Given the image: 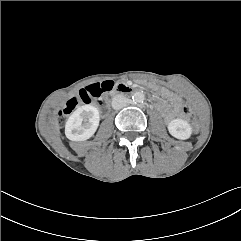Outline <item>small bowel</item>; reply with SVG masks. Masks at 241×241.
<instances>
[{
  "label": "small bowel",
  "mask_w": 241,
  "mask_h": 241,
  "mask_svg": "<svg viewBox=\"0 0 241 241\" xmlns=\"http://www.w3.org/2000/svg\"><path fill=\"white\" fill-rule=\"evenodd\" d=\"M164 95L170 100V105L165 107L166 119H171L174 115L179 113L181 106V99L178 96L171 95L167 92Z\"/></svg>",
  "instance_id": "obj_1"
}]
</instances>
